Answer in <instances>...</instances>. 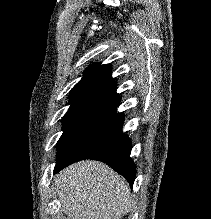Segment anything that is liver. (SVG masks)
I'll list each match as a JSON object with an SVG mask.
<instances>
[{
  "label": "liver",
  "instance_id": "obj_1",
  "mask_svg": "<svg viewBox=\"0 0 211 219\" xmlns=\"http://www.w3.org/2000/svg\"><path fill=\"white\" fill-rule=\"evenodd\" d=\"M55 182L61 211L70 219H119L128 212V183L102 162L72 164Z\"/></svg>",
  "mask_w": 211,
  "mask_h": 219
}]
</instances>
